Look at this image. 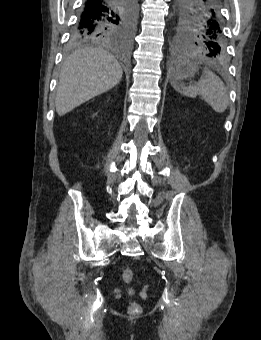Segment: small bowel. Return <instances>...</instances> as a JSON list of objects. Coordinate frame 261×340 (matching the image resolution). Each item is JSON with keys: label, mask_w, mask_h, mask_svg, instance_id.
<instances>
[{"label": "small bowel", "mask_w": 261, "mask_h": 340, "mask_svg": "<svg viewBox=\"0 0 261 340\" xmlns=\"http://www.w3.org/2000/svg\"><path fill=\"white\" fill-rule=\"evenodd\" d=\"M130 293H132V289H130V291H129Z\"/></svg>", "instance_id": "c3829d8e"}]
</instances>
